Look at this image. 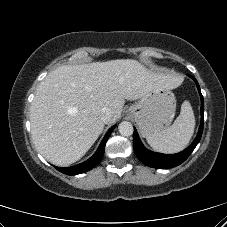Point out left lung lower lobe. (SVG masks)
Returning <instances> with one entry per match:
<instances>
[{
	"mask_svg": "<svg viewBox=\"0 0 227 227\" xmlns=\"http://www.w3.org/2000/svg\"><path fill=\"white\" fill-rule=\"evenodd\" d=\"M189 76L195 81L201 97V123H200L198 134L195 140L192 142V144L182 152H179L177 154H161V153L152 152L147 148H145L138 136L136 129L134 128V138H133L134 152L136 156L139 158V160L142 163H144L146 166L156 168V169H167V168L178 166L189 157V155L193 152V150L195 149V147L197 146V144L201 139L202 132H203V123H204V119H203L204 100H203V96L201 94L200 86L197 80L191 75Z\"/></svg>",
	"mask_w": 227,
	"mask_h": 227,
	"instance_id": "1",
	"label": "left lung lower lobe"
}]
</instances>
